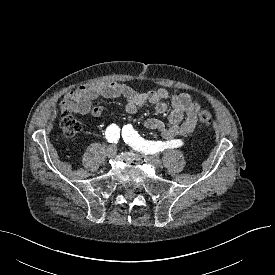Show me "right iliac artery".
Wrapping results in <instances>:
<instances>
[{
	"label": "right iliac artery",
	"mask_w": 275,
	"mask_h": 275,
	"mask_svg": "<svg viewBox=\"0 0 275 275\" xmlns=\"http://www.w3.org/2000/svg\"><path fill=\"white\" fill-rule=\"evenodd\" d=\"M106 139L110 143H117L120 137V129L116 124H111L106 129Z\"/></svg>",
	"instance_id": "right-iliac-artery-1"
}]
</instances>
